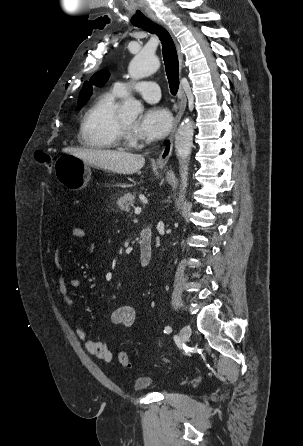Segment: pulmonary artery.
I'll use <instances>...</instances> for the list:
<instances>
[{
    "label": "pulmonary artery",
    "mask_w": 303,
    "mask_h": 446,
    "mask_svg": "<svg viewBox=\"0 0 303 446\" xmlns=\"http://www.w3.org/2000/svg\"><path fill=\"white\" fill-rule=\"evenodd\" d=\"M114 88L122 96L132 92L137 93L148 103H156L160 99V88L153 81L116 82Z\"/></svg>",
    "instance_id": "e3ab8cb5"
}]
</instances>
